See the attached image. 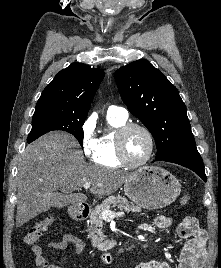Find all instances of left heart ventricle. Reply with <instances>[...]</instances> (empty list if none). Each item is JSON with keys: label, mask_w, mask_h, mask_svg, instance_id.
I'll return each instance as SVG.
<instances>
[{"label": "left heart ventricle", "mask_w": 221, "mask_h": 268, "mask_svg": "<svg viewBox=\"0 0 221 268\" xmlns=\"http://www.w3.org/2000/svg\"><path fill=\"white\" fill-rule=\"evenodd\" d=\"M149 149L147 135L140 129L130 130L125 137V153L132 162L141 161Z\"/></svg>", "instance_id": "b2bd125f"}]
</instances>
